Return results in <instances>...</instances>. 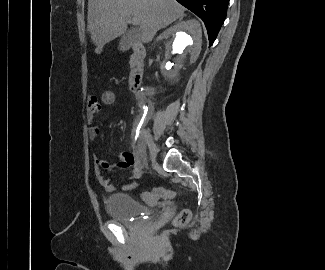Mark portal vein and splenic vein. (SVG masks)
<instances>
[{
  "mask_svg": "<svg viewBox=\"0 0 325 270\" xmlns=\"http://www.w3.org/2000/svg\"><path fill=\"white\" fill-rule=\"evenodd\" d=\"M130 22H131L133 25H138V24H139V20H138V18H136V17H133V18L130 20Z\"/></svg>",
  "mask_w": 325,
  "mask_h": 270,
  "instance_id": "18ae733b",
  "label": "portal vein and splenic vein"
}]
</instances>
